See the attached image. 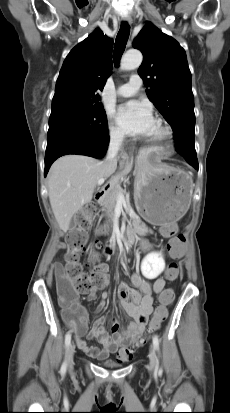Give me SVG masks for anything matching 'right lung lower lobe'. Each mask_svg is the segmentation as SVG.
Listing matches in <instances>:
<instances>
[{
    "instance_id": "obj_1",
    "label": "right lung lower lobe",
    "mask_w": 230,
    "mask_h": 413,
    "mask_svg": "<svg viewBox=\"0 0 230 413\" xmlns=\"http://www.w3.org/2000/svg\"><path fill=\"white\" fill-rule=\"evenodd\" d=\"M109 144V136L105 138L87 141L72 140L64 141L46 149L45 154V176L52 163L59 157L67 154L86 155L94 158H102Z\"/></svg>"
}]
</instances>
